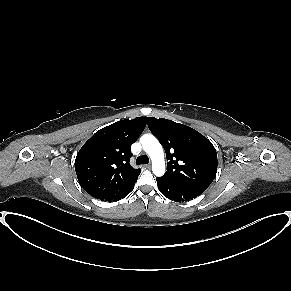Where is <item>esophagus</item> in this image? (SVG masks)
I'll return each mask as SVG.
<instances>
[{
	"instance_id": "1",
	"label": "esophagus",
	"mask_w": 291,
	"mask_h": 291,
	"mask_svg": "<svg viewBox=\"0 0 291 291\" xmlns=\"http://www.w3.org/2000/svg\"><path fill=\"white\" fill-rule=\"evenodd\" d=\"M144 168L150 169L151 168V165L150 164H146V165H144Z\"/></svg>"
}]
</instances>
